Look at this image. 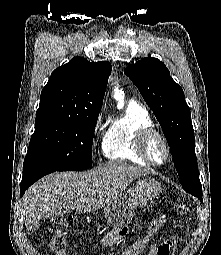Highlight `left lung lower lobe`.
Masks as SVG:
<instances>
[{
  "label": "left lung lower lobe",
  "instance_id": "obj_1",
  "mask_svg": "<svg viewBox=\"0 0 221 255\" xmlns=\"http://www.w3.org/2000/svg\"><path fill=\"white\" fill-rule=\"evenodd\" d=\"M196 197H198V198L200 199L201 202L203 201V199H202V193L197 194Z\"/></svg>",
  "mask_w": 221,
  "mask_h": 255
}]
</instances>
